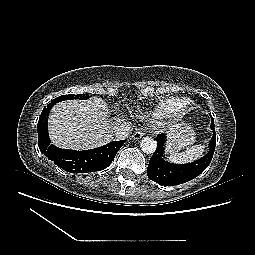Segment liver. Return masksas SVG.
<instances>
[{
    "instance_id": "liver-1",
    "label": "liver",
    "mask_w": 255,
    "mask_h": 255,
    "mask_svg": "<svg viewBox=\"0 0 255 255\" xmlns=\"http://www.w3.org/2000/svg\"><path fill=\"white\" fill-rule=\"evenodd\" d=\"M107 103L97 97L57 104L50 113L48 128L53 144L61 148L84 150L96 148L113 139V125L124 117L109 118Z\"/></svg>"
}]
</instances>
